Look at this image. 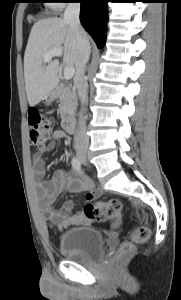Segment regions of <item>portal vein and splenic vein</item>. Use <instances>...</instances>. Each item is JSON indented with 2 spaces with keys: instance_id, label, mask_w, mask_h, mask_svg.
Returning a JSON list of instances; mask_svg holds the SVG:
<instances>
[{
  "instance_id": "1",
  "label": "portal vein and splenic vein",
  "mask_w": 181,
  "mask_h": 300,
  "mask_svg": "<svg viewBox=\"0 0 181 300\" xmlns=\"http://www.w3.org/2000/svg\"><path fill=\"white\" fill-rule=\"evenodd\" d=\"M62 54H63L62 48H53L44 55V61L49 62L53 57H59L62 56ZM74 74H75V69L73 66H66L64 68V78L66 80L71 79L74 76Z\"/></svg>"
}]
</instances>
